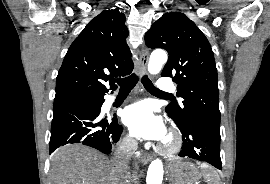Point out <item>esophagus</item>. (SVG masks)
I'll return each mask as SVG.
<instances>
[{
  "label": "esophagus",
  "mask_w": 270,
  "mask_h": 184,
  "mask_svg": "<svg viewBox=\"0 0 270 184\" xmlns=\"http://www.w3.org/2000/svg\"><path fill=\"white\" fill-rule=\"evenodd\" d=\"M148 59H149V50L144 45L142 47V49H141L140 60H139V65H138V72H139L141 77L146 74V68H147ZM151 159H152L151 154H144L141 157L140 161L143 164H147L148 162L151 161Z\"/></svg>",
  "instance_id": "obj_1"
}]
</instances>
